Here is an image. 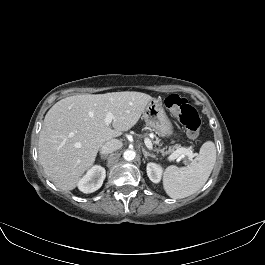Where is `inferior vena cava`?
<instances>
[{
    "label": "inferior vena cava",
    "mask_w": 265,
    "mask_h": 265,
    "mask_svg": "<svg viewBox=\"0 0 265 265\" xmlns=\"http://www.w3.org/2000/svg\"><path fill=\"white\" fill-rule=\"evenodd\" d=\"M122 143L117 140V139H112L110 141L105 142L103 145L100 147V153L105 155L112 153L119 149L121 147Z\"/></svg>",
    "instance_id": "obj_1"
}]
</instances>
